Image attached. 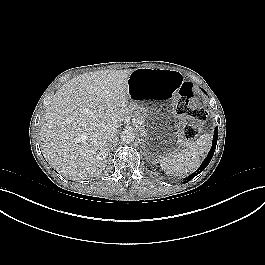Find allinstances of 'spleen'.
<instances>
[{"mask_svg":"<svg viewBox=\"0 0 265 265\" xmlns=\"http://www.w3.org/2000/svg\"><path fill=\"white\" fill-rule=\"evenodd\" d=\"M211 144V136L203 134L190 143L186 149L174 154L161 156L160 166L167 174L182 176L199 167Z\"/></svg>","mask_w":265,"mask_h":265,"instance_id":"1","label":"spleen"}]
</instances>
